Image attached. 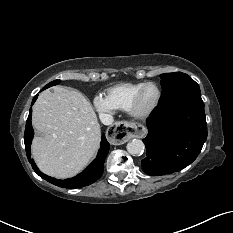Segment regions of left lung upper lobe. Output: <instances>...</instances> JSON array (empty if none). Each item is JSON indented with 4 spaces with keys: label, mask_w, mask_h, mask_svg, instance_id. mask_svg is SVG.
I'll list each match as a JSON object with an SVG mask.
<instances>
[{
    "label": "left lung upper lobe",
    "mask_w": 233,
    "mask_h": 233,
    "mask_svg": "<svg viewBox=\"0 0 233 233\" xmlns=\"http://www.w3.org/2000/svg\"><path fill=\"white\" fill-rule=\"evenodd\" d=\"M163 94L160 103L188 91H200L198 84L182 72L165 73L160 75Z\"/></svg>",
    "instance_id": "left-lung-upper-lobe-1"
}]
</instances>
